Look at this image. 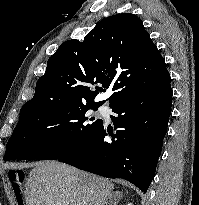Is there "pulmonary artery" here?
I'll use <instances>...</instances> for the list:
<instances>
[{"label":"pulmonary artery","instance_id":"e3ab8cb5","mask_svg":"<svg viewBox=\"0 0 199 205\" xmlns=\"http://www.w3.org/2000/svg\"><path fill=\"white\" fill-rule=\"evenodd\" d=\"M100 110H101L102 112H106V111H107L106 108H104V107H101Z\"/></svg>","mask_w":199,"mask_h":205}]
</instances>
